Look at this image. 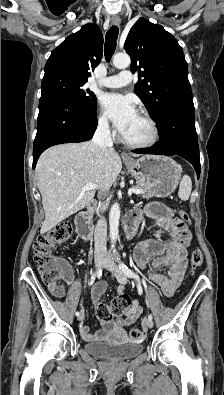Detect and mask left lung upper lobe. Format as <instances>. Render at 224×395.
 <instances>
[{
  "instance_id": "5c2ea615",
  "label": "left lung upper lobe",
  "mask_w": 224,
  "mask_h": 395,
  "mask_svg": "<svg viewBox=\"0 0 224 395\" xmlns=\"http://www.w3.org/2000/svg\"><path fill=\"white\" fill-rule=\"evenodd\" d=\"M124 48L131 57V71L138 70L135 93L150 117L161 120L165 110L193 104L187 62L177 40L162 26L140 18L126 38Z\"/></svg>"
}]
</instances>
